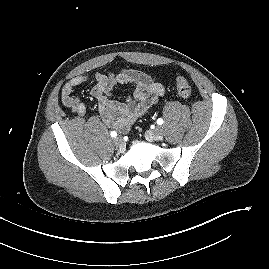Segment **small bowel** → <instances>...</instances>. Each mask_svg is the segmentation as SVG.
I'll list each match as a JSON object with an SVG mask.
<instances>
[{"mask_svg":"<svg viewBox=\"0 0 269 269\" xmlns=\"http://www.w3.org/2000/svg\"><path fill=\"white\" fill-rule=\"evenodd\" d=\"M89 80L88 76H76L62 88L61 101L74 114L83 116L86 113V104L73 96L72 92L75 87ZM94 80L96 84L90 93L98 100V111L103 121L121 133L128 132L165 93L158 78L134 69H122L108 74L96 73ZM118 85L134 86L133 95L124 101L113 98L112 91Z\"/></svg>","mask_w":269,"mask_h":269,"instance_id":"obj_1","label":"small bowel"}]
</instances>
